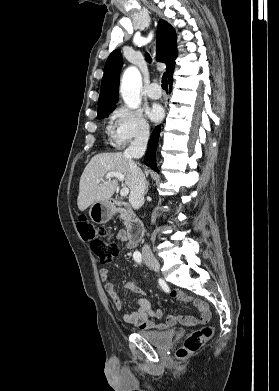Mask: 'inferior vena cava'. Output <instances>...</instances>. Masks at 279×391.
Listing matches in <instances>:
<instances>
[{"instance_id":"inferior-vena-cava-1","label":"inferior vena cava","mask_w":279,"mask_h":391,"mask_svg":"<svg viewBox=\"0 0 279 391\" xmlns=\"http://www.w3.org/2000/svg\"><path fill=\"white\" fill-rule=\"evenodd\" d=\"M148 140L149 128L146 127L137 134L130 146L124 151V156L129 160V166L132 174V187L129 195V202L134 209H139L144 202L146 180L145 176L133 159H139L144 155ZM142 253L152 255L150 246L145 244L142 248Z\"/></svg>"}]
</instances>
